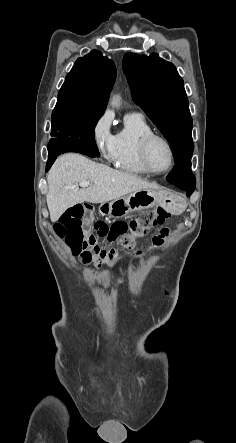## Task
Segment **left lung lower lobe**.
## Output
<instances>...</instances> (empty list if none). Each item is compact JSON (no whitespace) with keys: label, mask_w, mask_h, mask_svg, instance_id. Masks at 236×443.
<instances>
[{"label":"left lung lower lobe","mask_w":236,"mask_h":443,"mask_svg":"<svg viewBox=\"0 0 236 443\" xmlns=\"http://www.w3.org/2000/svg\"><path fill=\"white\" fill-rule=\"evenodd\" d=\"M167 181L185 190L187 196H190L194 192L196 185V178L191 172V158L176 163L168 174Z\"/></svg>","instance_id":"0a47b994"}]
</instances>
